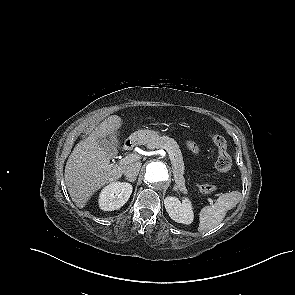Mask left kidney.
I'll return each instance as SVG.
<instances>
[{
  "mask_svg": "<svg viewBox=\"0 0 295 295\" xmlns=\"http://www.w3.org/2000/svg\"><path fill=\"white\" fill-rule=\"evenodd\" d=\"M164 205L167 213L175 222L187 225L193 222L194 214L188 198L181 202L178 198L169 196L165 198Z\"/></svg>",
  "mask_w": 295,
  "mask_h": 295,
  "instance_id": "obj_1",
  "label": "left kidney"
}]
</instances>
